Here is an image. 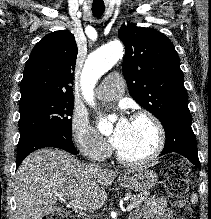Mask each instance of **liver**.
<instances>
[{
    "label": "liver",
    "mask_w": 211,
    "mask_h": 219,
    "mask_svg": "<svg viewBox=\"0 0 211 219\" xmlns=\"http://www.w3.org/2000/svg\"><path fill=\"white\" fill-rule=\"evenodd\" d=\"M115 177L114 171L81 164L65 151L38 150L24 159L15 175V219H42L59 211L57 197L84 211L100 209L107 201L104 187Z\"/></svg>",
    "instance_id": "obj_1"
}]
</instances>
